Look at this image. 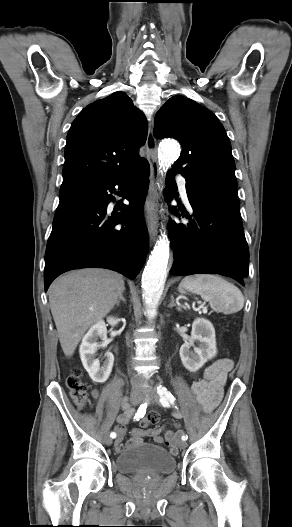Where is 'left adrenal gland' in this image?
<instances>
[{"mask_svg": "<svg viewBox=\"0 0 292 527\" xmlns=\"http://www.w3.org/2000/svg\"><path fill=\"white\" fill-rule=\"evenodd\" d=\"M168 307H169V308L176 307V309H177L178 311L181 310V307H179V306L175 303V300H174L173 295H171V302H170V304L168 305Z\"/></svg>", "mask_w": 292, "mask_h": 527, "instance_id": "1", "label": "left adrenal gland"}]
</instances>
